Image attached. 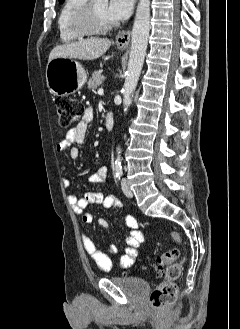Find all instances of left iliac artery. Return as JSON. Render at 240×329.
<instances>
[{
  "label": "left iliac artery",
  "instance_id": "1",
  "mask_svg": "<svg viewBox=\"0 0 240 329\" xmlns=\"http://www.w3.org/2000/svg\"><path fill=\"white\" fill-rule=\"evenodd\" d=\"M123 174L122 166L121 165H116L115 166V177L120 180L121 176Z\"/></svg>",
  "mask_w": 240,
  "mask_h": 329
}]
</instances>
